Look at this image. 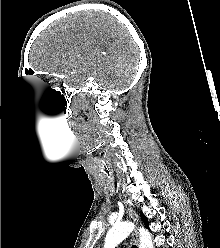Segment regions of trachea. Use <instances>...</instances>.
Instances as JSON below:
<instances>
[{"mask_svg":"<svg viewBox=\"0 0 220 248\" xmlns=\"http://www.w3.org/2000/svg\"><path fill=\"white\" fill-rule=\"evenodd\" d=\"M132 248H137V246L136 245H133Z\"/></svg>","mask_w":220,"mask_h":248,"instance_id":"1","label":"trachea"}]
</instances>
